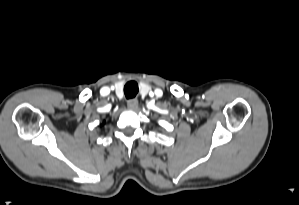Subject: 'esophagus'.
<instances>
[{"label":"esophagus","instance_id":"34e87169","mask_svg":"<svg viewBox=\"0 0 299 205\" xmlns=\"http://www.w3.org/2000/svg\"><path fill=\"white\" fill-rule=\"evenodd\" d=\"M127 106L129 109H136L138 107V100L137 99H130L127 102Z\"/></svg>","mask_w":299,"mask_h":205}]
</instances>
